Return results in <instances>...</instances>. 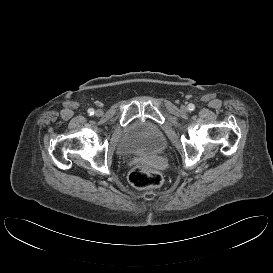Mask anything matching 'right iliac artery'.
I'll return each mask as SVG.
<instances>
[{"label":"right iliac artery","instance_id":"82829eb1","mask_svg":"<svg viewBox=\"0 0 273 273\" xmlns=\"http://www.w3.org/2000/svg\"><path fill=\"white\" fill-rule=\"evenodd\" d=\"M88 113H89L90 115H93V114H94V109L90 108V109L88 110Z\"/></svg>","mask_w":273,"mask_h":273}]
</instances>
